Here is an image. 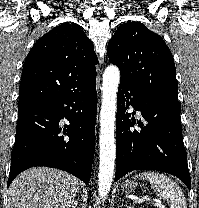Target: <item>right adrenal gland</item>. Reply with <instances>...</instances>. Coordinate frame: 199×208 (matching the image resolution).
Returning a JSON list of instances; mask_svg holds the SVG:
<instances>
[{
    "mask_svg": "<svg viewBox=\"0 0 199 208\" xmlns=\"http://www.w3.org/2000/svg\"><path fill=\"white\" fill-rule=\"evenodd\" d=\"M72 208H78V203H77V201L73 202Z\"/></svg>",
    "mask_w": 199,
    "mask_h": 208,
    "instance_id": "right-adrenal-gland-1",
    "label": "right adrenal gland"
}]
</instances>
